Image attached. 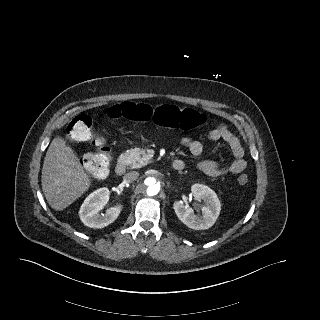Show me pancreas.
I'll list each match as a JSON object with an SVG mask.
<instances>
[{
	"instance_id": "obj_1",
	"label": "pancreas",
	"mask_w": 320,
	"mask_h": 320,
	"mask_svg": "<svg viewBox=\"0 0 320 320\" xmlns=\"http://www.w3.org/2000/svg\"><path fill=\"white\" fill-rule=\"evenodd\" d=\"M119 162L131 169L143 167L149 163L146 153L140 148H134L122 153Z\"/></svg>"
}]
</instances>
